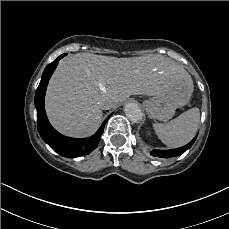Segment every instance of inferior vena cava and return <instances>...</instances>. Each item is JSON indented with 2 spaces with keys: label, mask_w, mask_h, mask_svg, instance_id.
Segmentation results:
<instances>
[{
  "label": "inferior vena cava",
  "mask_w": 229,
  "mask_h": 229,
  "mask_svg": "<svg viewBox=\"0 0 229 229\" xmlns=\"http://www.w3.org/2000/svg\"><path fill=\"white\" fill-rule=\"evenodd\" d=\"M107 103V102H106ZM114 106H116V104H114ZM103 109H109V108H107L105 105L103 106Z\"/></svg>",
  "instance_id": "602c4592"
}]
</instances>
